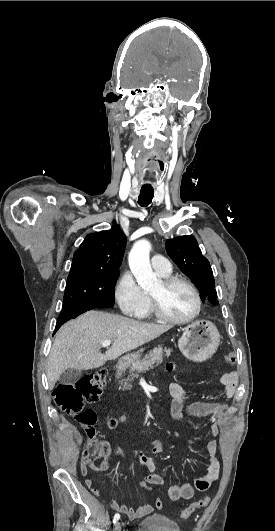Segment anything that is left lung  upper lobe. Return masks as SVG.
I'll list each match as a JSON object with an SVG mask.
<instances>
[{"label":"left lung upper lobe","mask_w":275,"mask_h":531,"mask_svg":"<svg viewBox=\"0 0 275 531\" xmlns=\"http://www.w3.org/2000/svg\"><path fill=\"white\" fill-rule=\"evenodd\" d=\"M166 251L179 269L186 274L200 290L202 301L207 299L217 305L215 281L209 261L202 255L193 236H179L166 241Z\"/></svg>","instance_id":"left-lung-upper-lobe-1"}]
</instances>
